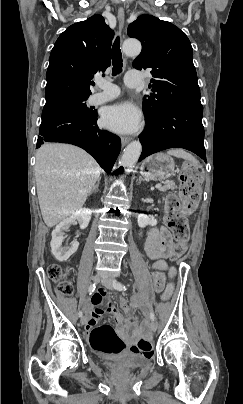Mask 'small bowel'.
Here are the masks:
<instances>
[{"label":"small bowel","mask_w":243,"mask_h":404,"mask_svg":"<svg viewBox=\"0 0 243 404\" xmlns=\"http://www.w3.org/2000/svg\"><path fill=\"white\" fill-rule=\"evenodd\" d=\"M171 240L169 232L165 228H154L148 235L145 242V254L149 259L155 260L154 268L159 270H166L170 277L173 278L176 275V269L168 266L163 260V257L167 255L168 244ZM173 291V283H169L166 287L162 298L168 299ZM107 292L104 289H100L95 293L91 299L93 308L90 310L89 316L86 318V332H88L99 320L101 315L106 311L114 315L116 319V332L117 334L129 343H133L141 334V328H137L132 334L130 328L135 321H123L121 314L118 312L113 303H109L106 308L102 307V302L107 298Z\"/></svg>","instance_id":"small-bowel-1"}]
</instances>
